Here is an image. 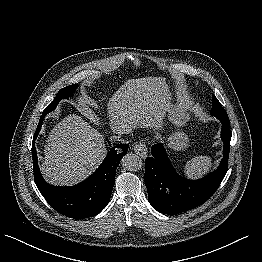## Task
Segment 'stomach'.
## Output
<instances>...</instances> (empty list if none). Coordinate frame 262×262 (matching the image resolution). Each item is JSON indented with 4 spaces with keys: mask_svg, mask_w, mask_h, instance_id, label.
<instances>
[{
    "mask_svg": "<svg viewBox=\"0 0 262 262\" xmlns=\"http://www.w3.org/2000/svg\"><path fill=\"white\" fill-rule=\"evenodd\" d=\"M166 111L168 119L176 127H183L190 119L188 111L177 104L168 103ZM187 144L188 138L181 131H177L169 137V147L175 151L185 149Z\"/></svg>",
    "mask_w": 262,
    "mask_h": 262,
    "instance_id": "stomach-1",
    "label": "stomach"
}]
</instances>
